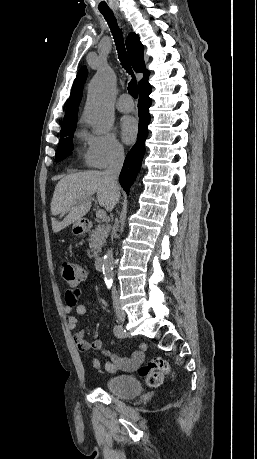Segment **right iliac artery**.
I'll return each instance as SVG.
<instances>
[{"label":"right iliac artery","instance_id":"obj_1","mask_svg":"<svg viewBox=\"0 0 257 459\" xmlns=\"http://www.w3.org/2000/svg\"><path fill=\"white\" fill-rule=\"evenodd\" d=\"M114 334L117 338H124L126 336V331L122 326L116 325L114 327Z\"/></svg>","mask_w":257,"mask_h":459}]
</instances>
